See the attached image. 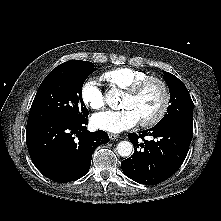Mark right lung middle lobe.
I'll return each mask as SVG.
<instances>
[{"instance_id":"obj_1","label":"right lung middle lobe","mask_w":221,"mask_h":221,"mask_svg":"<svg viewBox=\"0 0 221 221\" xmlns=\"http://www.w3.org/2000/svg\"><path fill=\"white\" fill-rule=\"evenodd\" d=\"M95 70L92 62L81 60H70L53 69L37 91L27 124L85 120L89 111L81 90L86 78Z\"/></svg>"}]
</instances>
